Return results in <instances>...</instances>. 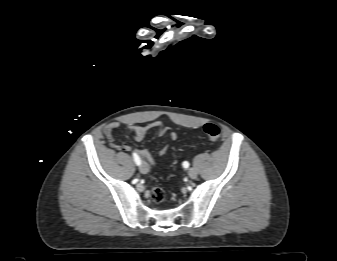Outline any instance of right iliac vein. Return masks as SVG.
I'll return each mask as SVG.
<instances>
[{
    "label": "right iliac vein",
    "mask_w": 337,
    "mask_h": 261,
    "mask_svg": "<svg viewBox=\"0 0 337 261\" xmlns=\"http://www.w3.org/2000/svg\"><path fill=\"white\" fill-rule=\"evenodd\" d=\"M139 170H140L141 173L146 174L149 171V167H148V165L145 162H143L140 165Z\"/></svg>",
    "instance_id": "1"
}]
</instances>
